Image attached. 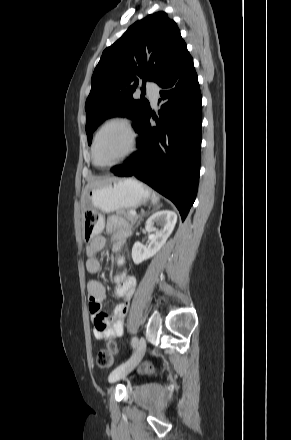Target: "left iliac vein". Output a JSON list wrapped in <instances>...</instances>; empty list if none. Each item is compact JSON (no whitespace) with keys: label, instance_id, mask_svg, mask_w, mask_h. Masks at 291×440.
Masks as SVG:
<instances>
[{"label":"left iliac vein","instance_id":"obj_1","mask_svg":"<svg viewBox=\"0 0 291 440\" xmlns=\"http://www.w3.org/2000/svg\"><path fill=\"white\" fill-rule=\"evenodd\" d=\"M145 350H146L145 339L141 337L132 356L126 362L116 367L110 373L109 381L111 383L116 382L126 377L129 373H131L141 361L145 353Z\"/></svg>","mask_w":291,"mask_h":440}]
</instances>
